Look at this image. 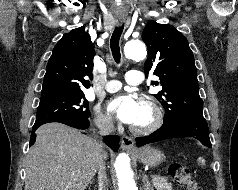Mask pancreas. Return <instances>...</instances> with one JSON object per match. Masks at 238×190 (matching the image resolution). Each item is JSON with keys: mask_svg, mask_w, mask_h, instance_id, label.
<instances>
[{"mask_svg": "<svg viewBox=\"0 0 238 190\" xmlns=\"http://www.w3.org/2000/svg\"><path fill=\"white\" fill-rule=\"evenodd\" d=\"M152 182L156 190H172V184L165 177L156 176Z\"/></svg>", "mask_w": 238, "mask_h": 190, "instance_id": "cf45deb5", "label": "pancreas"}]
</instances>
